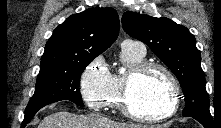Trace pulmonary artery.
Wrapping results in <instances>:
<instances>
[{
	"instance_id": "pulmonary-artery-1",
	"label": "pulmonary artery",
	"mask_w": 221,
	"mask_h": 128,
	"mask_svg": "<svg viewBox=\"0 0 221 128\" xmlns=\"http://www.w3.org/2000/svg\"><path fill=\"white\" fill-rule=\"evenodd\" d=\"M122 46L125 47H131L138 51L141 54H145V46L141 41L138 40H131V39H126L123 43Z\"/></svg>"
}]
</instances>
